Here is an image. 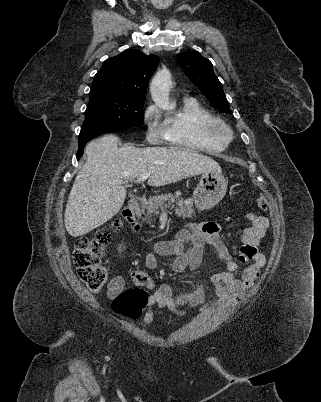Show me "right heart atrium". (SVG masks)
Here are the masks:
<instances>
[{"label": "right heart atrium", "mask_w": 321, "mask_h": 402, "mask_svg": "<svg viewBox=\"0 0 321 402\" xmlns=\"http://www.w3.org/2000/svg\"><path fill=\"white\" fill-rule=\"evenodd\" d=\"M160 111L154 104H149L143 112V121L147 126V139L151 142H158L162 138L163 131L158 123Z\"/></svg>", "instance_id": "1"}]
</instances>
